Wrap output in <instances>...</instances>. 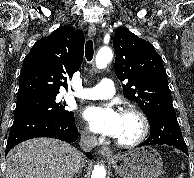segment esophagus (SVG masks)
<instances>
[{
    "mask_svg": "<svg viewBox=\"0 0 194 178\" xmlns=\"http://www.w3.org/2000/svg\"><path fill=\"white\" fill-rule=\"evenodd\" d=\"M95 34H96V26H95V24H90L89 29H88V35L90 37H92ZM99 153H100V155H102L105 158H112V156H113L112 150L107 146H102L99 149Z\"/></svg>",
    "mask_w": 194,
    "mask_h": 178,
    "instance_id": "34e87169",
    "label": "esophagus"
}]
</instances>
